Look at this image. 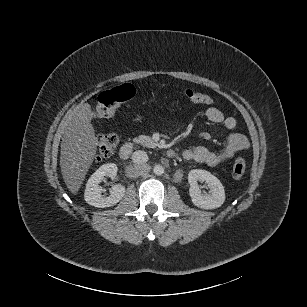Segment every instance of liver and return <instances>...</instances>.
Returning a JSON list of instances; mask_svg holds the SVG:
<instances>
[{
	"label": "liver",
	"mask_w": 307,
	"mask_h": 307,
	"mask_svg": "<svg viewBox=\"0 0 307 307\" xmlns=\"http://www.w3.org/2000/svg\"><path fill=\"white\" fill-rule=\"evenodd\" d=\"M92 120V106L83 103L77 105L61 123L63 129L60 152L61 174L68 190L74 196L78 195L98 151Z\"/></svg>",
	"instance_id": "6515ba94"
}]
</instances>
